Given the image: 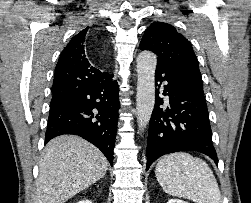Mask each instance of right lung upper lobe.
I'll list each match as a JSON object with an SVG mask.
<instances>
[{"mask_svg":"<svg viewBox=\"0 0 251 203\" xmlns=\"http://www.w3.org/2000/svg\"><path fill=\"white\" fill-rule=\"evenodd\" d=\"M89 27L75 35L62 51L55 68L51 104L68 98L86 85L101 82L108 78L88 61L85 52L86 35Z\"/></svg>","mask_w":251,"mask_h":203,"instance_id":"1","label":"right lung upper lobe"}]
</instances>
